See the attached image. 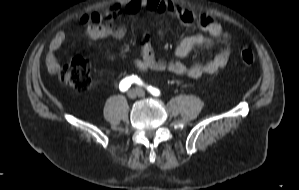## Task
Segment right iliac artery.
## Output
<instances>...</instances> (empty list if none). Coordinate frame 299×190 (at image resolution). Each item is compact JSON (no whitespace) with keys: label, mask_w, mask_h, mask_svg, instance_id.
<instances>
[{"label":"right iliac artery","mask_w":299,"mask_h":190,"mask_svg":"<svg viewBox=\"0 0 299 190\" xmlns=\"http://www.w3.org/2000/svg\"><path fill=\"white\" fill-rule=\"evenodd\" d=\"M132 83H137L138 85L143 84L142 81L140 80V78H138L135 75H132V76L124 78L120 82L119 89L124 92V91L128 90V88L131 86Z\"/></svg>","instance_id":"1"}]
</instances>
